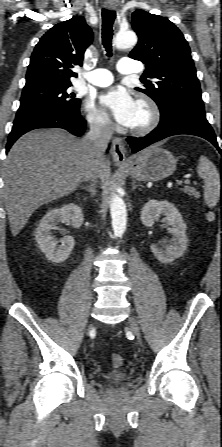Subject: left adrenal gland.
I'll use <instances>...</instances> for the list:
<instances>
[{
    "label": "left adrenal gland",
    "instance_id": "1",
    "mask_svg": "<svg viewBox=\"0 0 222 447\" xmlns=\"http://www.w3.org/2000/svg\"><path fill=\"white\" fill-rule=\"evenodd\" d=\"M137 187H143L141 184H136L135 181H132V190L134 191Z\"/></svg>",
    "mask_w": 222,
    "mask_h": 447
}]
</instances>
